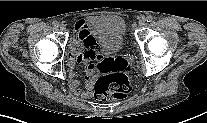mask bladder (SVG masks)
I'll use <instances>...</instances> for the list:
<instances>
[{"mask_svg":"<svg viewBox=\"0 0 207 123\" xmlns=\"http://www.w3.org/2000/svg\"><path fill=\"white\" fill-rule=\"evenodd\" d=\"M89 29L99 46L107 52L117 51L124 43L125 22L117 15L92 17Z\"/></svg>","mask_w":207,"mask_h":123,"instance_id":"1","label":"bladder"}]
</instances>
